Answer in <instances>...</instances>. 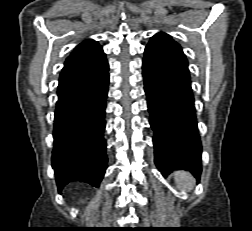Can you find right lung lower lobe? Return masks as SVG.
Wrapping results in <instances>:
<instances>
[{
  "label": "right lung lower lobe",
  "mask_w": 252,
  "mask_h": 231,
  "mask_svg": "<svg viewBox=\"0 0 252 231\" xmlns=\"http://www.w3.org/2000/svg\"><path fill=\"white\" fill-rule=\"evenodd\" d=\"M108 71L58 95L54 119L52 167L60 192L73 181L99 187L107 168L105 109Z\"/></svg>",
  "instance_id": "1"
}]
</instances>
